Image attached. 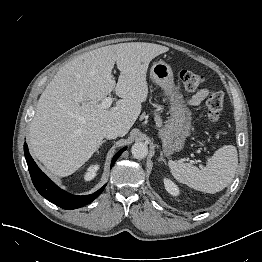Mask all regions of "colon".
Segmentation results:
<instances>
[{
	"mask_svg": "<svg viewBox=\"0 0 262 262\" xmlns=\"http://www.w3.org/2000/svg\"><path fill=\"white\" fill-rule=\"evenodd\" d=\"M181 82L188 91H197L205 84V77L195 71L182 70L179 73ZM206 115L211 123H216L221 115L224 106V93L218 89H212L206 100Z\"/></svg>",
	"mask_w": 262,
	"mask_h": 262,
	"instance_id": "1",
	"label": "colon"
}]
</instances>
